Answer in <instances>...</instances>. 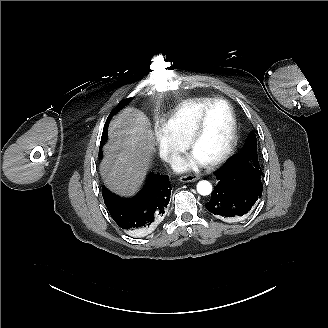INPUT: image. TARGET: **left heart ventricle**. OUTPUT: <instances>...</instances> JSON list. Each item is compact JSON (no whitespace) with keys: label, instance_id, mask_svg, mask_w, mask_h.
Here are the masks:
<instances>
[{"label":"left heart ventricle","instance_id":"1","mask_svg":"<svg viewBox=\"0 0 328 328\" xmlns=\"http://www.w3.org/2000/svg\"><path fill=\"white\" fill-rule=\"evenodd\" d=\"M231 135V115L224 103L214 105L207 113L203 129L192 150L208 161L219 156L227 147Z\"/></svg>","mask_w":328,"mask_h":328}]
</instances>
